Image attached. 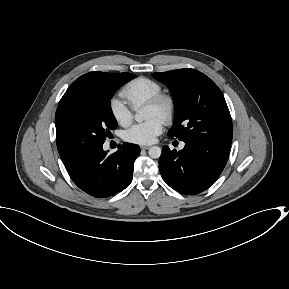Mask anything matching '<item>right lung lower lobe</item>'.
<instances>
[{"label": "right lung lower lobe", "instance_id": "obj_1", "mask_svg": "<svg viewBox=\"0 0 289 289\" xmlns=\"http://www.w3.org/2000/svg\"><path fill=\"white\" fill-rule=\"evenodd\" d=\"M102 146L65 164L74 183L87 194L99 198L115 195L131 183L133 165L140 154V148L130 143H123L111 155Z\"/></svg>", "mask_w": 289, "mask_h": 289}]
</instances>
